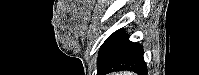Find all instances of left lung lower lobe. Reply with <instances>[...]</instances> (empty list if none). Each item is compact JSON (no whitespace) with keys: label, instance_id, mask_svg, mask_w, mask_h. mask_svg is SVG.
<instances>
[{"label":"left lung lower lobe","instance_id":"1","mask_svg":"<svg viewBox=\"0 0 199 75\" xmlns=\"http://www.w3.org/2000/svg\"><path fill=\"white\" fill-rule=\"evenodd\" d=\"M97 69V75L123 70L147 75L148 71L142 45L129 41L128 34L122 29L114 32L101 46Z\"/></svg>","mask_w":199,"mask_h":75}]
</instances>
